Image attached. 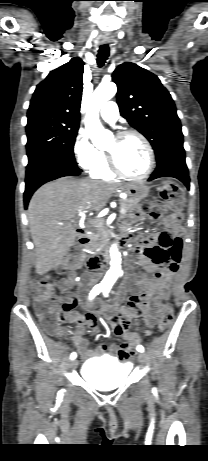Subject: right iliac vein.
<instances>
[{"label":"right iliac vein","mask_w":208,"mask_h":461,"mask_svg":"<svg viewBox=\"0 0 208 461\" xmlns=\"http://www.w3.org/2000/svg\"><path fill=\"white\" fill-rule=\"evenodd\" d=\"M77 366H78V361L77 360H72L70 362V368L71 369H75V368H77Z\"/></svg>","instance_id":"63e3f726"}]
</instances>
